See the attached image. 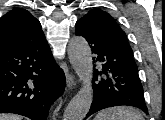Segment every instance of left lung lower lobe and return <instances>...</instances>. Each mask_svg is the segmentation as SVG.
<instances>
[{
	"label": "left lung lower lobe",
	"instance_id": "obj_1",
	"mask_svg": "<svg viewBox=\"0 0 165 120\" xmlns=\"http://www.w3.org/2000/svg\"><path fill=\"white\" fill-rule=\"evenodd\" d=\"M76 35L91 47L94 69V99L86 117L104 108L129 105L148 113L143 87L133 53L95 31L84 19L76 22Z\"/></svg>",
	"mask_w": 165,
	"mask_h": 120
}]
</instances>
